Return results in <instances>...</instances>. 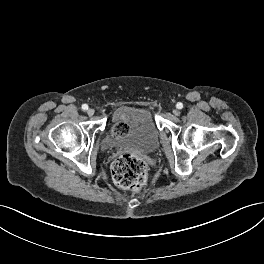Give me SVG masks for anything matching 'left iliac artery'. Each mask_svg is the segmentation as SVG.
Here are the masks:
<instances>
[{"label":"left iliac artery","instance_id":"1","mask_svg":"<svg viewBox=\"0 0 264 264\" xmlns=\"http://www.w3.org/2000/svg\"><path fill=\"white\" fill-rule=\"evenodd\" d=\"M176 107L178 109H182L183 108V104L181 102H178L177 105H176Z\"/></svg>","mask_w":264,"mask_h":264}]
</instances>
